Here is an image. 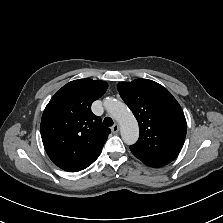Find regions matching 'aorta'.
Listing matches in <instances>:
<instances>
[{
	"mask_svg": "<svg viewBox=\"0 0 223 223\" xmlns=\"http://www.w3.org/2000/svg\"><path fill=\"white\" fill-rule=\"evenodd\" d=\"M103 105L111 118L121 127V137L125 144L132 145L139 138V126L128 106L112 97H106Z\"/></svg>",
	"mask_w": 223,
	"mask_h": 223,
	"instance_id": "aorta-1",
	"label": "aorta"
}]
</instances>
